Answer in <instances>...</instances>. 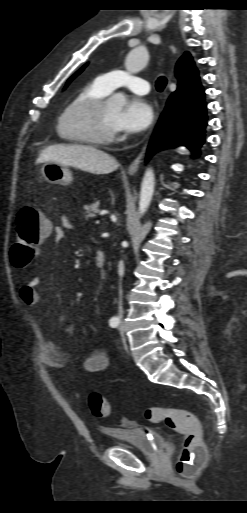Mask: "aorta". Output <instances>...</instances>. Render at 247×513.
Listing matches in <instances>:
<instances>
[{"label":"aorta","mask_w":247,"mask_h":513,"mask_svg":"<svg viewBox=\"0 0 247 513\" xmlns=\"http://www.w3.org/2000/svg\"><path fill=\"white\" fill-rule=\"evenodd\" d=\"M149 55L145 47L140 46L129 52L125 60L126 70L130 73H138L141 71L148 62ZM125 97L122 94H114L110 98V104L116 108H122L125 104ZM155 188V174L152 168H148L144 174L141 184L140 200H139V213L143 215L152 200Z\"/></svg>","instance_id":"aorta-1"}]
</instances>
